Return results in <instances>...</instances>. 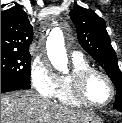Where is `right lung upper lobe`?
<instances>
[{
	"instance_id": "1",
	"label": "right lung upper lobe",
	"mask_w": 122,
	"mask_h": 123,
	"mask_svg": "<svg viewBox=\"0 0 122 123\" xmlns=\"http://www.w3.org/2000/svg\"><path fill=\"white\" fill-rule=\"evenodd\" d=\"M33 27L18 6L1 11V52L29 53Z\"/></svg>"
}]
</instances>
